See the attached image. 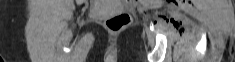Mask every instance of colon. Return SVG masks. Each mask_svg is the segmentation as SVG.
<instances>
[{"instance_id": "5ec220e1", "label": "colon", "mask_w": 235, "mask_h": 62, "mask_svg": "<svg viewBox=\"0 0 235 62\" xmlns=\"http://www.w3.org/2000/svg\"><path fill=\"white\" fill-rule=\"evenodd\" d=\"M130 21V15L126 12H123L107 18L105 25L108 30L112 32H119L126 28L130 24Z\"/></svg>"}]
</instances>
